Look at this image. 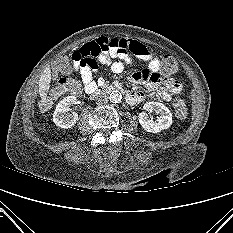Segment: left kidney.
<instances>
[{"mask_svg":"<svg viewBox=\"0 0 233 233\" xmlns=\"http://www.w3.org/2000/svg\"><path fill=\"white\" fill-rule=\"evenodd\" d=\"M144 109L154 111L160 114L156 120L148 117L145 112L139 113V123L144 130L151 133H157L161 130L168 129L172 124V114L170 110L160 102H147L144 104Z\"/></svg>","mask_w":233,"mask_h":233,"instance_id":"left-kidney-1","label":"left kidney"}]
</instances>
